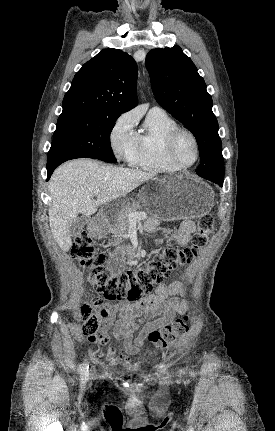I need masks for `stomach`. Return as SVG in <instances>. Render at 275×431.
Here are the masks:
<instances>
[{"instance_id":"0dacf381","label":"stomach","mask_w":275,"mask_h":431,"mask_svg":"<svg viewBox=\"0 0 275 431\" xmlns=\"http://www.w3.org/2000/svg\"><path fill=\"white\" fill-rule=\"evenodd\" d=\"M138 196L151 214L165 221L200 218L214 205V193L209 186L182 175L157 180L154 189L143 188ZM128 203L127 199H118L106 208L101 213V223L93 225V234L103 237L111 232L117 212Z\"/></svg>"}]
</instances>
